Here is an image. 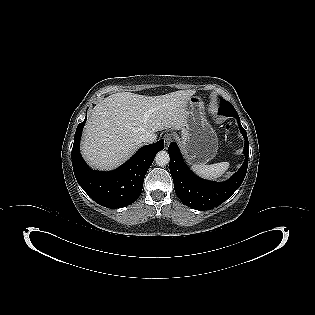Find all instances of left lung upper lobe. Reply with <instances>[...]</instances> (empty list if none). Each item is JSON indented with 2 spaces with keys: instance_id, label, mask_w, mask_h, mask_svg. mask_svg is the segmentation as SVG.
Returning a JSON list of instances; mask_svg holds the SVG:
<instances>
[{
  "instance_id": "left-lung-upper-lobe-1",
  "label": "left lung upper lobe",
  "mask_w": 315,
  "mask_h": 315,
  "mask_svg": "<svg viewBox=\"0 0 315 315\" xmlns=\"http://www.w3.org/2000/svg\"><path fill=\"white\" fill-rule=\"evenodd\" d=\"M219 113L223 114L225 116H232V117H239L238 113L236 112L235 108L226 100L221 99L220 100V107H219Z\"/></svg>"
}]
</instances>
